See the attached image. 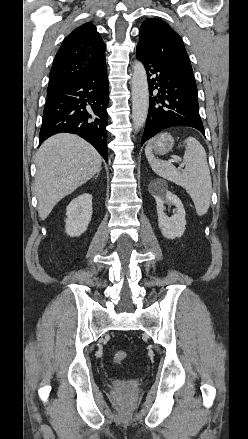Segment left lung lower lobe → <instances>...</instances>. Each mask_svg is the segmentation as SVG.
Segmentation results:
<instances>
[{
    "label": "left lung lower lobe",
    "instance_id": "left-lung-lower-lobe-1",
    "mask_svg": "<svg viewBox=\"0 0 248 439\" xmlns=\"http://www.w3.org/2000/svg\"><path fill=\"white\" fill-rule=\"evenodd\" d=\"M148 75L150 103L141 145L160 131L174 126L204 128L199 115L194 75L162 62L137 47Z\"/></svg>",
    "mask_w": 248,
    "mask_h": 439
}]
</instances>
